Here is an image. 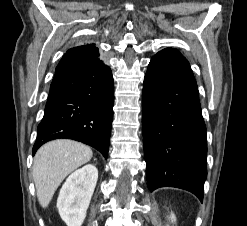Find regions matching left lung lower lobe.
I'll return each mask as SVG.
<instances>
[{"mask_svg": "<svg viewBox=\"0 0 247 226\" xmlns=\"http://www.w3.org/2000/svg\"><path fill=\"white\" fill-rule=\"evenodd\" d=\"M142 101L148 187H176L203 200L207 177L206 126L190 65L166 48L150 61Z\"/></svg>", "mask_w": 247, "mask_h": 226, "instance_id": "left-lung-lower-lobe-1", "label": "left lung lower lobe"}]
</instances>
